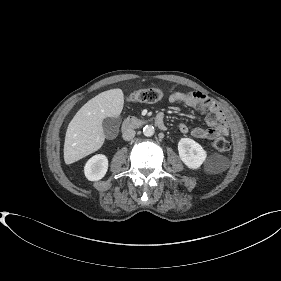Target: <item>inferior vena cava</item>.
<instances>
[{
	"instance_id": "602c4592",
	"label": "inferior vena cava",
	"mask_w": 281,
	"mask_h": 281,
	"mask_svg": "<svg viewBox=\"0 0 281 281\" xmlns=\"http://www.w3.org/2000/svg\"><path fill=\"white\" fill-rule=\"evenodd\" d=\"M136 132L133 129H127L123 132V139L126 141H130L134 138Z\"/></svg>"
}]
</instances>
